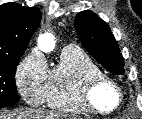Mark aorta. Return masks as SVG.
Instances as JSON below:
<instances>
[{"mask_svg":"<svg viewBox=\"0 0 142 119\" xmlns=\"http://www.w3.org/2000/svg\"><path fill=\"white\" fill-rule=\"evenodd\" d=\"M38 47L45 53H50L55 48L54 36L51 33H45L38 38Z\"/></svg>","mask_w":142,"mask_h":119,"instance_id":"762f6f07","label":"aorta"}]
</instances>
